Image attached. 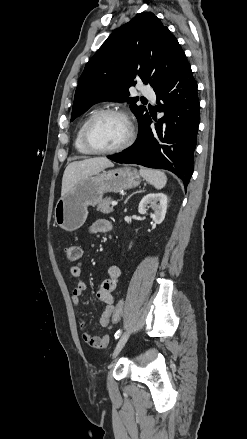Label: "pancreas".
Returning <instances> with one entry per match:
<instances>
[{
	"mask_svg": "<svg viewBox=\"0 0 247 439\" xmlns=\"http://www.w3.org/2000/svg\"><path fill=\"white\" fill-rule=\"evenodd\" d=\"M112 199L110 197H106L102 199L97 206V210L102 212L103 214H108L114 211L113 207L110 206Z\"/></svg>",
	"mask_w": 247,
	"mask_h": 439,
	"instance_id": "pancreas-1",
	"label": "pancreas"
}]
</instances>
